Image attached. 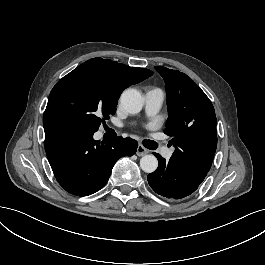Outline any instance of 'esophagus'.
Masks as SVG:
<instances>
[{
    "instance_id": "34e87169",
    "label": "esophagus",
    "mask_w": 265,
    "mask_h": 265,
    "mask_svg": "<svg viewBox=\"0 0 265 265\" xmlns=\"http://www.w3.org/2000/svg\"><path fill=\"white\" fill-rule=\"evenodd\" d=\"M149 151L142 145V144H139L138 147H137V151H136V154L138 156H144L148 153Z\"/></svg>"
}]
</instances>
